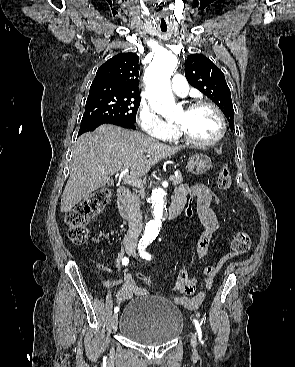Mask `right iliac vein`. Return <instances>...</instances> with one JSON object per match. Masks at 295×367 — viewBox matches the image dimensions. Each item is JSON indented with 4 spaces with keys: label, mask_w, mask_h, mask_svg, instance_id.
I'll return each instance as SVG.
<instances>
[{
    "label": "right iliac vein",
    "mask_w": 295,
    "mask_h": 367,
    "mask_svg": "<svg viewBox=\"0 0 295 367\" xmlns=\"http://www.w3.org/2000/svg\"><path fill=\"white\" fill-rule=\"evenodd\" d=\"M127 253L128 254H131V249H127ZM111 325H112L113 331H116L117 330V327H118V315H117V313H115L112 316Z\"/></svg>",
    "instance_id": "1"
}]
</instances>
